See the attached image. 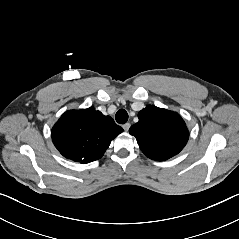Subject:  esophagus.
<instances>
[{
    "label": "esophagus",
    "instance_id": "34e87169",
    "mask_svg": "<svg viewBox=\"0 0 239 239\" xmlns=\"http://www.w3.org/2000/svg\"><path fill=\"white\" fill-rule=\"evenodd\" d=\"M129 128H130V123H126V124L123 125V129H124L125 131H128Z\"/></svg>",
    "mask_w": 239,
    "mask_h": 239
}]
</instances>
